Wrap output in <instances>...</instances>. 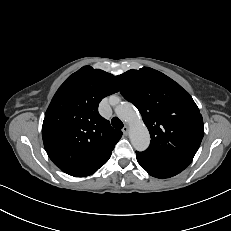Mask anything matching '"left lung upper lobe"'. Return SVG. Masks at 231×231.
I'll list each match as a JSON object with an SVG mask.
<instances>
[{
    "label": "left lung upper lobe",
    "instance_id": "left-lung-upper-lobe-1",
    "mask_svg": "<svg viewBox=\"0 0 231 231\" xmlns=\"http://www.w3.org/2000/svg\"><path fill=\"white\" fill-rule=\"evenodd\" d=\"M123 97L142 115L151 143L143 154L189 165L204 135L203 119L190 94L152 68L129 70L116 76Z\"/></svg>",
    "mask_w": 231,
    "mask_h": 231
}]
</instances>
